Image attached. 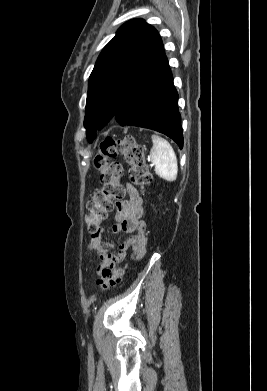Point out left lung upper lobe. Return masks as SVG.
Segmentation results:
<instances>
[{
	"instance_id": "5c2ea615",
	"label": "left lung upper lobe",
	"mask_w": 267,
	"mask_h": 391,
	"mask_svg": "<svg viewBox=\"0 0 267 391\" xmlns=\"http://www.w3.org/2000/svg\"><path fill=\"white\" fill-rule=\"evenodd\" d=\"M163 55L158 32L144 20L133 19L119 28L89 78L84 119L87 135L96 137L97 130L115 116L131 89Z\"/></svg>"
}]
</instances>
